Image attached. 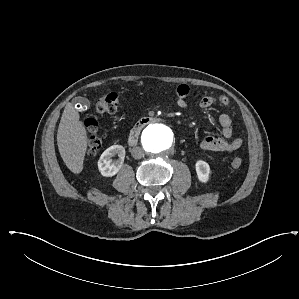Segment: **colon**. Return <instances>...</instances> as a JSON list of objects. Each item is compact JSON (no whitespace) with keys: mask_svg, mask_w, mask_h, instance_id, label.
Returning a JSON list of instances; mask_svg holds the SVG:
<instances>
[{"mask_svg":"<svg viewBox=\"0 0 299 299\" xmlns=\"http://www.w3.org/2000/svg\"><path fill=\"white\" fill-rule=\"evenodd\" d=\"M120 103V98L116 93H106L99 97L96 103V111L100 114H109L117 111ZM85 127L89 133L88 143H87V155L94 157L100 147L101 140L97 135L98 124L92 119L88 118L85 120ZM243 161L240 157H235L231 161L233 168H239Z\"/></svg>","mask_w":299,"mask_h":299,"instance_id":"1","label":"colon"}]
</instances>
